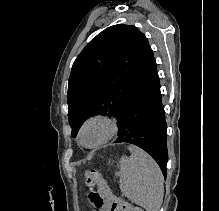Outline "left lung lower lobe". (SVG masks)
<instances>
[{
    "label": "left lung lower lobe",
    "instance_id": "left-lung-lower-lobe-1",
    "mask_svg": "<svg viewBox=\"0 0 219 211\" xmlns=\"http://www.w3.org/2000/svg\"><path fill=\"white\" fill-rule=\"evenodd\" d=\"M118 128L115 143L125 142L142 148L159 164L166 177L167 124L157 71L130 100Z\"/></svg>",
    "mask_w": 219,
    "mask_h": 211
}]
</instances>
